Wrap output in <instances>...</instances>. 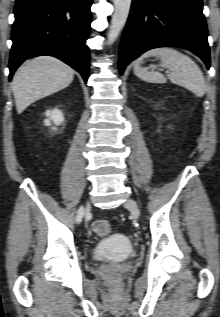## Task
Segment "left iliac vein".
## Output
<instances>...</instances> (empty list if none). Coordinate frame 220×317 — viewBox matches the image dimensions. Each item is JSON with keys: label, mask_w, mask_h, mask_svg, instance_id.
Listing matches in <instances>:
<instances>
[{"label": "left iliac vein", "mask_w": 220, "mask_h": 317, "mask_svg": "<svg viewBox=\"0 0 220 317\" xmlns=\"http://www.w3.org/2000/svg\"><path fill=\"white\" fill-rule=\"evenodd\" d=\"M124 206L135 216L138 217L140 215V209L137 203L133 199H127L124 203Z\"/></svg>", "instance_id": "1"}]
</instances>
